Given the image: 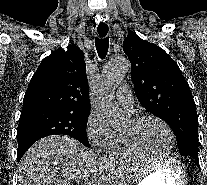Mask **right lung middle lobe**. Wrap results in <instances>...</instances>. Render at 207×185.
Returning <instances> with one entry per match:
<instances>
[{
	"mask_svg": "<svg viewBox=\"0 0 207 185\" xmlns=\"http://www.w3.org/2000/svg\"><path fill=\"white\" fill-rule=\"evenodd\" d=\"M88 116L89 113L51 109L22 111L17 130V161L35 141L54 134L69 135L90 147L86 133Z\"/></svg>",
	"mask_w": 207,
	"mask_h": 185,
	"instance_id": "right-lung-middle-lobe-1",
	"label": "right lung middle lobe"
}]
</instances>
